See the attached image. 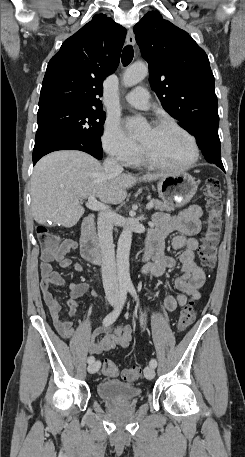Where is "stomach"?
<instances>
[{"label":"stomach","instance_id":"stomach-1","mask_svg":"<svg viewBox=\"0 0 245 457\" xmlns=\"http://www.w3.org/2000/svg\"><path fill=\"white\" fill-rule=\"evenodd\" d=\"M196 190L197 182L188 172H169L158 182L160 198L165 202H175L177 206L187 204Z\"/></svg>","mask_w":245,"mask_h":457}]
</instances>
